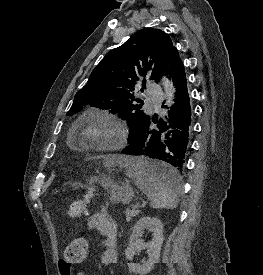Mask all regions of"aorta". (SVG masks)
I'll use <instances>...</instances> for the list:
<instances>
[{"mask_svg": "<svg viewBox=\"0 0 263 275\" xmlns=\"http://www.w3.org/2000/svg\"><path fill=\"white\" fill-rule=\"evenodd\" d=\"M162 85L164 87L166 104L170 107L174 102L175 88L173 82L169 80L166 76H163L161 79Z\"/></svg>", "mask_w": 263, "mask_h": 275, "instance_id": "1", "label": "aorta"}]
</instances>
